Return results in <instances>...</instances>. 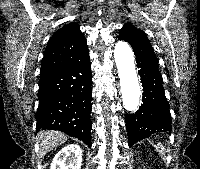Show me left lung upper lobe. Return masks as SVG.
<instances>
[{
	"label": "left lung upper lobe",
	"instance_id": "5c2ea615",
	"mask_svg": "<svg viewBox=\"0 0 200 169\" xmlns=\"http://www.w3.org/2000/svg\"><path fill=\"white\" fill-rule=\"evenodd\" d=\"M119 39L130 43L136 57L148 58L158 64L154 49L142 30L126 23L119 32Z\"/></svg>",
	"mask_w": 200,
	"mask_h": 169
}]
</instances>
